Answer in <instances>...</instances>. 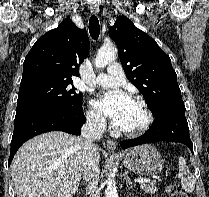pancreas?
<instances>
[{
	"instance_id": "obj_1",
	"label": "pancreas",
	"mask_w": 209,
	"mask_h": 197,
	"mask_svg": "<svg viewBox=\"0 0 209 197\" xmlns=\"http://www.w3.org/2000/svg\"><path fill=\"white\" fill-rule=\"evenodd\" d=\"M155 185H156V182H151L149 184L140 183V188L148 194H154L157 192V188Z\"/></svg>"
}]
</instances>
